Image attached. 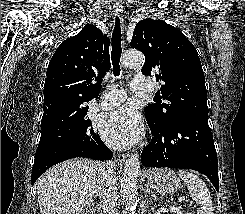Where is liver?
Here are the masks:
<instances>
[{
  "instance_id": "liver-1",
  "label": "liver",
  "mask_w": 245,
  "mask_h": 214,
  "mask_svg": "<svg viewBox=\"0 0 245 214\" xmlns=\"http://www.w3.org/2000/svg\"><path fill=\"white\" fill-rule=\"evenodd\" d=\"M104 163L89 159L62 162L37 181L41 214H75L99 194Z\"/></svg>"
}]
</instances>
